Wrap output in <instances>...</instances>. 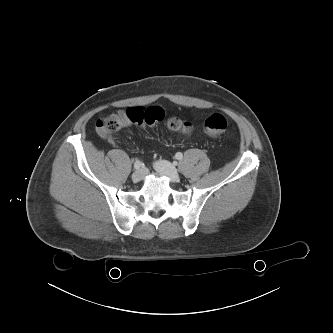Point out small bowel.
Wrapping results in <instances>:
<instances>
[{
    "label": "small bowel",
    "mask_w": 333,
    "mask_h": 333,
    "mask_svg": "<svg viewBox=\"0 0 333 333\" xmlns=\"http://www.w3.org/2000/svg\"><path fill=\"white\" fill-rule=\"evenodd\" d=\"M127 115L125 124H134L140 127H153L164 120L165 112L160 107L140 108L130 107L123 111Z\"/></svg>",
    "instance_id": "1"
}]
</instances>
